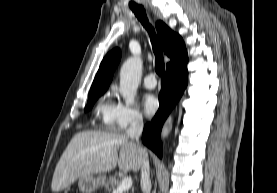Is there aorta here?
Listing matches in <instances>:
<instances>
[{
    "instance_id": "obj_1",
    "label": "aorta",
    "mask_w": 277,
    "mask_h": 193,
    "mask_svg": "<svg viewBox=\"0 0 277 193\" xmlns=\"http://www.w3.org/2000/svg\"><path fill=\"white\" fill-rule=\"evenodd\" d=\"M142 76V60L139 57H131L127 59L120 70V93L125 97L127 104H133L134 98L141 81ZM172 126L171 116L165 122L162 130V138L169 134Z\"/></svg>"
}]
</instances>
